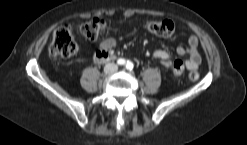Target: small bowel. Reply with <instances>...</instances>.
I'll return each mask as SVG.
<instances>
[{
    "label": "small bowel",
    "mask_w": 247,
    "mask_h": 145,
    "mask_svg": "<svg viewBox=\"0 0 247 145\" xmlns=\"http://www.w3.org/2000/svg\"><path fill=\"white\" fill-rule=\"evenodd\" d=\"M116 39L109 37L101 41L99 45L100 51L109 52L112 48L116 46ZM176 53L179 56H187L185 65L188 70L196 71L201 63V57L198 52V38L194 35L190 36L186 46H178L176 48ZM154 57L160 59L164 66L169 67L172 64V58L168 52L164 50H157L154 53Z\"/></svg>",
    "instance_id": "1"
}]
</instances>
